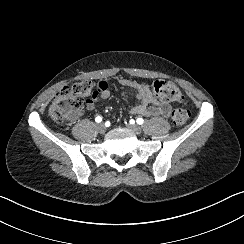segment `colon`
Returning <instances> with one entry per match:
<instances>
[{
    "mask_svg": "<svg viewBox=\"0 0 244 244\" xmlns=\"http://www.w3.org/2000/svg\"><path fill=\"white\" fill-rule=\"evenodd\" d=\"M150 89L157 97L167 101L179 102L184 98L180 88L170 81L156 80L150 84ZM97 93L96 84L91 80H80L67 85L54 98L48 114L54 121H64L72 117L86 102L94 99ZM188 115L186 110L176 108L171 113V119L174 124L183 125Z\"/></svg>",
    "mask_w": 244,
    "mask_h": 244,
    "instance_id": "colon-1",
    "label": "colon"
}]
</instances>
